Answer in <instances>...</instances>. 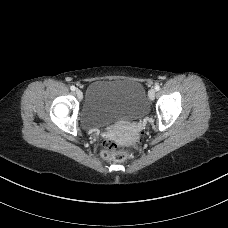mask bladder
<instances>
[{"label": "bladder", "instance_id": "31cf9c89", "mask_svg": "<svg viewBox=\"0 0 228 228\" xmlns=\"http://www.w3.org/2000/svg\"><path fill=\"white\" fill-rule=\"evenodd\" d=\"M148 112L143 85L134 80H97L89 84L81 113L85 128H107Z\"/></svg>", "mask_w": 228, "mask_h": 228}]
</instances>
